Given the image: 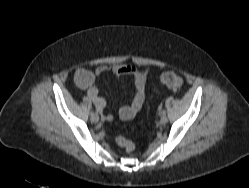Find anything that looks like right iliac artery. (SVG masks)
I'll return each mask as SVG.
<instances>
[{"label": "right iliac artery", "instance_id": "82829eb1", "mask_svg": "<svg viewBox=\"0 0 249 188\" xmlns=\"http://www.w3.org/2000/svg\"><path fill=\"white\" fill-rule=\"evenodd\" d=\"M90 115H91V116H94V115H95V113L92 111V112L90 113Z\"/></svg>", "mask_w": 249, "mask_h": 188}]
</instances>
